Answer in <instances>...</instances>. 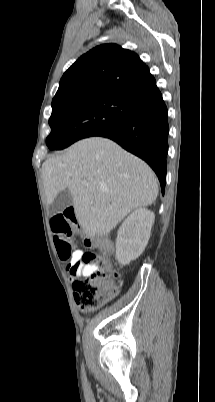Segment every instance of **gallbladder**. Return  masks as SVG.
I'll return each mask as SVG.
<instances>
[{"instance_id":"bac80fb5","label":"gallbladder","mask_w":215,"mask_h":402,"mask_svg":"<svg viewBox=\"0 0 215 402\" xmlns=\"http://www.w3.org/2000/svg\"><path fill=\"white\" fill-rule=\"evenodd\" d=\"M73 204V198L69 191L62 190L57 194L53 202L49 205V212L52 215L60 213Z\"/></svg>"}]
</instances>
